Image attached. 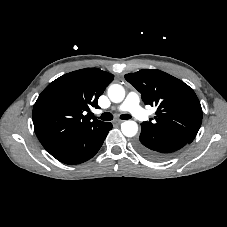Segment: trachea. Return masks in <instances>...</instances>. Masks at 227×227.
I'll return each mask as SVG.
<instances>
[{"instance_id":"3493384b","label":"trachea","mask_w":227,"mask_h":227,"mask_svg":"<svg viewBox=\"0 0 227 227\" xmlns=\"http://www.w3.org/2000/svg\"><path fill=\"white\" fill-rule=\"evenodd\" d=\"M100 119L103 120V121H110L113 119V115L109 112H106V113H103L101 116H100ZM120 119L122 120H128V119H131V116L129 114H122L120 116Z\"/></svg>"}]
</instances>
